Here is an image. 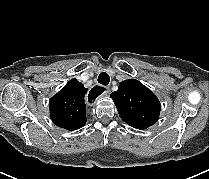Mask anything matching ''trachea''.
Masks as SVG:
<instances>
[{
    "mask_svg": "<svg viewBox=\"0 0 209 179\" xmlns=\"http://www.w3.org/2000/svg\"><path fill=\"white\" fill-rule=\"evenodd\" d=\"M98 82L102 85H108L110 82V77L106 72H102L99 76H98Z\"/></svg>",
    "mask_w": 209,
    "mask_h": 179,
    "instance_id": "3493384b",
    "label": "trachea"
}]
</instances>
